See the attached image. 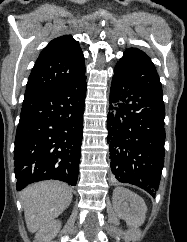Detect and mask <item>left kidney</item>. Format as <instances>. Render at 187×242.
<instances>
[{
  "label": "left kidney",
  "mask_w": 187,
  "mask_h": 242,
  "mask_svg": "<svg viewBox=\"0 0 187 242\" xmlns=\"http://www.w3.org/2000/svg\"><path fill=\"white\" fill-rule=\"evenodd\" d=\"M112 203L117 216L125 220L128 225L140 226L144 223L147 207L144 200L135 193L116 187Z\"/></svg>",
  "instance_id": "5707ae66"
}]
</instances>
